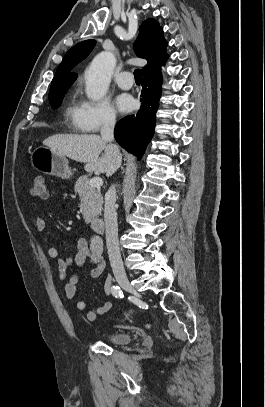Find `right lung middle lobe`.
<instances>
[{
    "label": "right lung middle lobe",
    "mask_w": 265,
    "mask_h": 407,
    "mask_svg": "<svg viewBox=\"0 0 265 407\" xmlns=\"http://www.w3.org/2000/svg\"><path fill=\"white\" fill-rule=\"evenodd\" d=\"M71 85L72 83H61L50 87L49 101L53 108H58L61 105L64 93Z\"/></svg>",
    "instance_id": "obj_1"
}]
</instances>
